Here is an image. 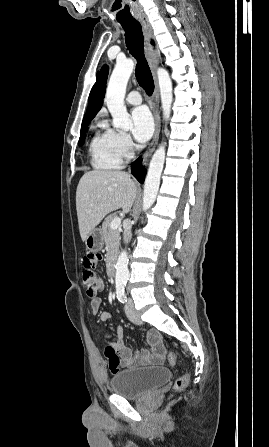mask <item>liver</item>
Instances as JSON below:
<instances>
[{
    "label": "liver",
    "instance_id": "liver-1",
    "mask_svg": "<svg viewBox=\"0 0 269 447\" xmlns=\"http://www.w3.org/2000/svg\"><path fill=\"white\" fill-rule=\"evenodd\" d=\"M136 194V184L127 172H86L76 190V210L83 241L109 212L122 208L123 214H128Z\"/></svg>",
    "mask_w": 269,
    "mask_h": 447
}]
</instances>
